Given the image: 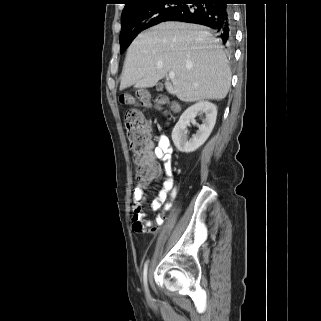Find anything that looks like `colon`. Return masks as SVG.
<instances>
[{
	"label": "colon",
	"instance_id": "1",
	"mask_svg": "<svg viewBox=\"0 0 321 321\" xmlns=\"http://www.w3.org/2000/svg\"><path fill=\"white\" fill-rule=\"evenodd\" d=\"M137 101L145 106L151 104L149 97L145 94L140 95ZM123 102L132 104L136 100L132 97H125ZM165 102L164 98H159L156 104L161 107ZM124 120L129 150L135 167V177L139 182H151L156 177L158 169L149 155L150 140L147 121L144 115L136 109L128 111Z\"/></svg>",
	"mask_w": 321,
	"mask_h": 321
}]
</instances>
